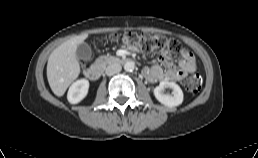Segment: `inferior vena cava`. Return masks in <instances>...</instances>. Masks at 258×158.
I'll return each mask as SVG.
<instances>
[{"label":"inferior vena cava","mask_w":258,"mask_h":158,"mask_svg":"<svg viewBox=\"0 0 258 158\" xmlns=\"http://www.w3.org/2000/svg\"><path fill=\"white\" fill-rule=\"evenodd\" d=\"M120 71H121V65L118 63H113V64H110L109 66H107L105 73L108 76H112Z\"/></svg>","instance_id":"inferior-vena-cava-1"}]
</instances>
